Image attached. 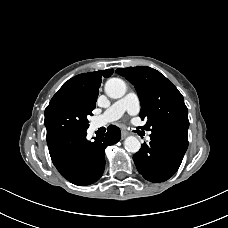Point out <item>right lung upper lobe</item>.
<instances>
[{"mask_svg": "<svg viewBox=\"0 0 228 228\" xmlns=\"http://www.w3.org/2000/svg\"><path fill=\"white\" fill-rule=\"evenodd\" d=\"M113 72V69H107L79 74L64 83L56 94L69 96L93 110L96 106L102 77L108 78Z\"/></svg>", "mask_w": 228, "mask_h": 228, "instance_id": "right-lung-upper-lobe-1", "label": "right lung upper lobe"}]
</instances>
